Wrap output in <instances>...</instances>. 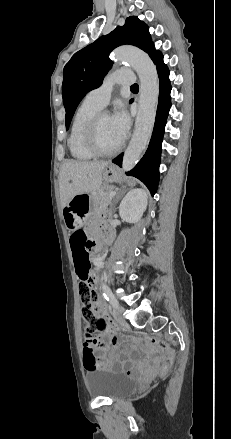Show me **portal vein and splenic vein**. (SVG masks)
<instances>
[{
  "instance_id": "1",
  "label": "portal vein and splenic vein",
  "mask_w": 231,
  "mask_h": 439,
  "mask_svg": "<svg viewBox=\"0 0 231 439\" xmlns=\"http://www.w3.org/2000/svg\"><path fill=\"white\" fill-rule=\"evenodd\" d=\"M115 195H116V192H111V193L109 194L110 197H113V196H115Z\"/></svg>"
}]
</instances>
